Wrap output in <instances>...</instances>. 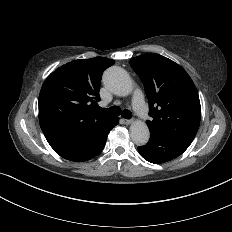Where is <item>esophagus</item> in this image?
<instances>
[{
    "mask_svg": "<svg viewBox=\"0 0 232 232\" xmlns=\"http://www.w3.org/2000/svg\"><path fill=\"white\" fill-rule=\"evenodd\" d=\"M123 121H124V124L126 125H129L132 122L131 119H123Z\"/></svg>",
    "mask_w": 232,
    "mask_h": 232,
    "instance_id": "obj_1",
    "label": "esophagus"
}]
</instances>
